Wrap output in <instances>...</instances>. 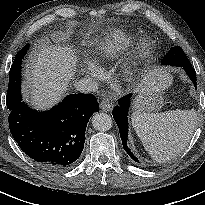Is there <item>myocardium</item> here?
<instances>
[{
    "instance_id": "1",
    "label": "myocardium",
    "mask_w": 205,
    "mask_h": 205,
    "mask_svg": "<svg viewBox=\"0 0 205 205\" xmlns=\"http://www.w3.org/2000/svg\"><path fill=\"white\" fill-rule=\"evenodd\" d=\"M142 45L144 46V44H142ZM126 75H127L128 77H132V76L134 75V69H133L132 66L128 65V66L126 67Z\"/></svg>"
}]
</instances>
